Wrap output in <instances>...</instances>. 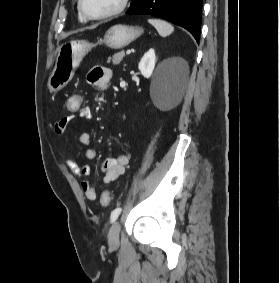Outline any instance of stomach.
I'll use <instances>...</instances> for the list:
<instances>
[{
	"label": "stomach",
	"instance_id": "1",
	"mask_svg": "<svg viewBox=\"0 0 280 283\" xmlns=\"http://www.w3.org/2000/svg\"><path fill=\"white\" fill-rule=\"evenodd\" d=\"M143 31L139 26L114 25L99 43L111 49H121L140 37ZM94 46L85 40H71L60 45L55 67L48 80L50 93L58 92L71 81L82 59Z\"/></svg>",
	"mask_w": 280,
	"mask_h": 283
}]
</instances>
